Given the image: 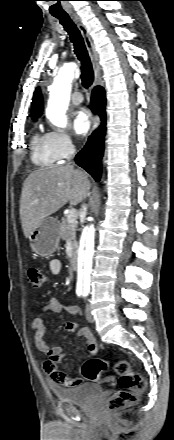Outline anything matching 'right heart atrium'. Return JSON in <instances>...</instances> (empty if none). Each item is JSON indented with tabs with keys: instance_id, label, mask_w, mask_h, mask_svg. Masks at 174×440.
Wrapping results in <instances>:
<instances>
[{
	"instance_id": "obj_1",
	"label": "right heart atrium",
	"mask_w": 174,
	"mask_h": 440,
	"mask_svg": "<svg viewBox=\"0 0 174 440\" xmlns=\"http://www.w3.org/2000/svg\"><path fill=\"white\" fill-rule=\"evenodd\" d=\"M49 139L53 153L59 161L68 158L73 153L74 142L66 131H52L49 133Z\"/></svg>"
}]
</instances>
